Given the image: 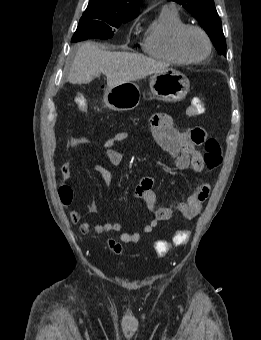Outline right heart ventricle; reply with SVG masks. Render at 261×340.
<instances>
[{"label":"right heart ventricle","mask_w":261,"mask_h":340,"mask_svg":"<svg viewBox=\"0 0 261 340\" xmlns=\"http://www.w3.org/2000/svg\"><path fill=\"white\" fill-rule=\"evenodd\" d=\"M185 24L175 7L163 6L143 35L141 43L143 51L163 62L175 65L187 64L188 62L179 56L174 47L175 35Z\"/></svg>","instance_id":"1"}]
</instances>
